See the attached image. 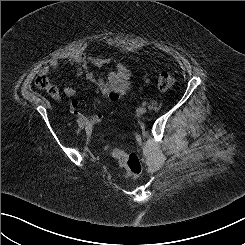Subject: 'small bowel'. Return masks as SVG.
I'll return each mask as SVG.
<instances>
[{
  "label": "small bowel",
  "mask_w": 245,
  "mask_h": 245,
  "mask_svg": "<svg viewBox=\"0 0 245 245\" xmlns=\"http://www.w3.org/2000/svg\"><path fill=\"white\" fill-rule=\"evenodd\" d=\"M107 61V58H92L86 56L85 54H81L73 60L72 64L75 67L77 75L84 76L89 82L98 88L104 97H106L109 101L114 102L127 95L131 87V72L127 66L121 62H117L114 70L111 71L105 78L97 76L90 69L91 66L100 67ZM58 67L59 62L57 60H52L48 66V68L52 70H55ZM48 68H45L44 72H46ZM144 81L145 83H148L149 79L145 77ZM63 91L67 97L72 99L70 102V110L72 114L82 118L90 126L95 125L102 120L103 116L100 113L86 116L78 110V103L74 99L77 91L73 87L66 86ZM52 97L55 100L61 99L58 93L52 95Z\"/></svg>",
  "instance_id": "obj_1"
}]
</instances>
